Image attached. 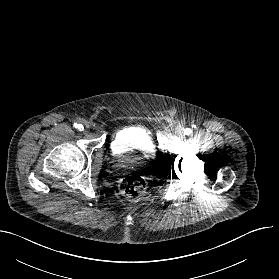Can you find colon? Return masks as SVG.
<instances>
[{
	"label": "colon",
	"mask_w": 279,
	"mask_h": 279,
	"mask_svg": "<svg viewBox=\"0 0 279 279\" xmlns=\"http://www.w3.org/2000/svg\"><path fill=\"white\" fill-rule=\"evenodd\" d=\"M121 193L128 199L140 198L146 191V181L138 175L124 177L119 182Z\"/></svg>",
	"instance_id": "colon-1"
}]
</instances>
